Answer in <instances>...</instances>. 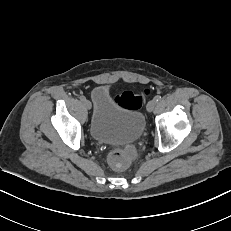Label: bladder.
I'll return each mask as SVG.
<instances>
[{"mask_svg": "<svg viewBox=\"0 0 231 231\" xmlns=\"http://www.w3.org/2000/svg\"><path fill=\"white\" fill-rule=\"evenodd\" d=\"M93 113L90 132L96 141L106 143L131 142L139 138L145 128V116L137 108L121 105L106 85L92 92Z\"/></svg>", "mask_w": 231, "mask_h": 231, "instance_id": "31cf9c89", "label": "bladder"}]
</instances>
